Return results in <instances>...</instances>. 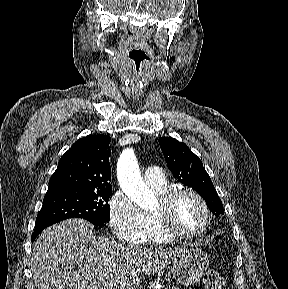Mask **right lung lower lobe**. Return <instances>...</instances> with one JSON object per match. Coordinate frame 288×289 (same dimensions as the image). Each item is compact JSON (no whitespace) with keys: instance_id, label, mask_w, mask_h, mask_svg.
Instances as JSON below:
<instances>
[{"instance_id":"obj_1","label":"right lung lower lobe","mask_w":288,"mask_h":289,"mask_svg":"<svg viewBox=\"0 0 288 289\" xmlns=\"http://www.w3.org/2000/svg\"><path fill=\"white\" fill-rule=\"evenodd\" d=\"M43 229H38V230H35V232L32 234V242L35 240V238L38 236V234L42 231Z\"/></svg>"}]
</instances>
